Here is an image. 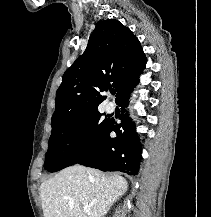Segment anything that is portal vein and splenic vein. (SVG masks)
Instances as JSON below:
<instances>
[{
    "label": "portal vein and splenic vein",
    "instance_id": "1",
    "mask_svg": "<svg viewBox=\"0 0 211 217\" xmlns=\"http://www.w3.org/2000/svg\"><path fill=\"white\" fill-rule=\"evenodd\" d=\"M83 210H84L85 213H89L91 208H90V206L86 205V206L83 207Z\"/></svg>",
    "mask_w": 211,
    "mask_h": 217
}]
</instances>
